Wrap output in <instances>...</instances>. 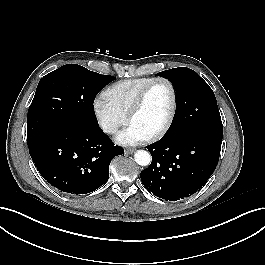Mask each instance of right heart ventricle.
Segmentation results:
<instances>
[{
	"instance_id": "1",
	"label": "right heart ventricle",
	"mask_w": 265,
	"mask_h": 265,
	"mask_svg": "<svg viewBox=\"0 0 265 265\" xmlns=\"http://www.w3.org/2000/svg\"><path fill=\"white\" fill-rule=\"evenodd\" d=\"M152 79V77H138L118 81L104 91L103 98L120 113L128 116L137 95Z\"/></svg>"
}]
</instances>
